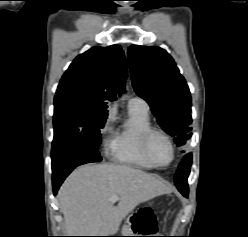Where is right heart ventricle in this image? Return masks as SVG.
<instances>
[{"label": "right heart ventricle", "mask_w": 248, "mask_h": 237, "mask_svg": "<svg viewBox=\"0 0 248 237\" xmlns=\"http://www.w3.org/2000/svg\"><path fill=\"white\" fill-rule=\"evenodd\" d=\"M149 111L138 106H129L128 118L116 129L111 148L113 161L142 169L154 167L141 150V136L151 128Z\"/></svg>", "instance_id": "obj_1"}]
</instances>
